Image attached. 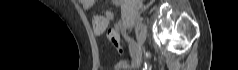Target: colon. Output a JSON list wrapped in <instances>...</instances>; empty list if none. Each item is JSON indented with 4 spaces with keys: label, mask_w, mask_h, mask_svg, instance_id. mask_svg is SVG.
<instances>
[{
    "label": "colon",
    "mask_w": 238,
    "mask_h": 70,
    "mask_svg": "<svg viewBox=\"0 0 238 70\" xmlns=\"http://www.w3.org/2000/svg\"><path fill=\"white\" fill-rule=\"evenodd\" d=\"M108 39L111 43H113L115 46L119 47V38H118V33L115 29H110L108 31Z\"/></svg>",
    "instance_id": "1"
}]
</instances>
